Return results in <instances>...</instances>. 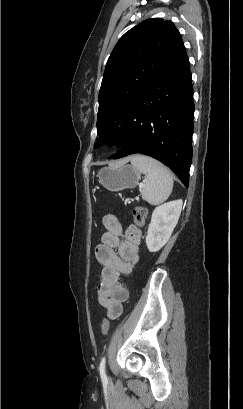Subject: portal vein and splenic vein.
<instances>
[{
  "instance_id": "18ae733b",
  "label": "portal vein and splenic vein",
  "mask_w": 243,
  "mask_h": 409,
  "mask_svg": "<svg viewBox=\"0 0 243 409\" xmlns=\"http://www.w3.org/2000/svg\"><path fill=\"white\" fill-rule=\"evenodd\" d=\"M139 187L142 188V187H143V184H140Z\"/></svg>"
}]
</instances>
